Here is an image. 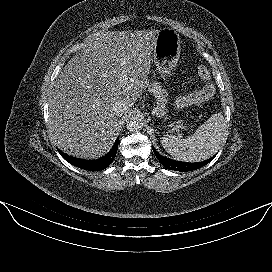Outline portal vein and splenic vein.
Wrapping results in <instances>:
<instances>
[{
    "mask_svg": "<svg viewBox=\"0 0 272 272\" xmlns=\"http://www.w3.org/2000/svg\"><path fill=\"white\" fill-rule=\"evenodd\" d=\"M123 64H125V63H123ZM124 77H125V78L127 77V74H126V73H124Z\"/></svg>",
    "mask_w": 272,
    "mask_h": 272,
    "instance_id": "portal-vein-and-splenic-vein-1",
    "label": "portal vein and splenic vein"
}]
</instances>
